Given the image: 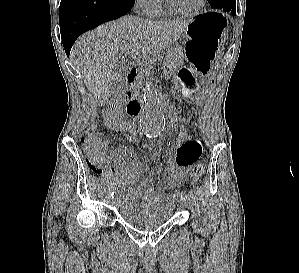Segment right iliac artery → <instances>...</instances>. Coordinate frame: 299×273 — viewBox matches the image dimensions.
Returning a JSON list of instances; mask_svg holds the SVG:
<instances>
[{"label":"right iliac artery","instance_id":"obj_1","mask_svg":"<svg viewBox=\"0 0 299 273\" xmlns=\"http://www.w3.org/2000/svg\"><path fill=\"white\" fill-rule=\"evenodd\" d=\"M111 196H112V198H114V192H112Z\"/></svg>","mask_w":299,"mask_h":273}]
</instances>
